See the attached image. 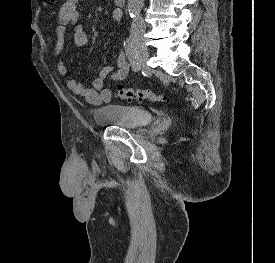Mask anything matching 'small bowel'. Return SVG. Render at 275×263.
Here are the masks:
<instances>
[{
  "mask_svg": "<svg viewBox=\"0 0 275 263\" xmlns=\"http://www.w3.org/2000/svg\"><path fill=\"white\" fill-rule=\"evenodd\" d=\"M79 0H66L60 7L58 12V24L56 27V45L54 54L58 59L57 71L60 75H67V67L59 58L62 54L65 34L67 27L74 25L73 42L77 47H84L87 44L88 37L83 27L77 24L79 19L78 12ZM122 18V12L114 9L111 13V19L119 22ZM130 73V64L127 56L121 52L116 58L115 67L112 65L104 66L96 78L93 79L92 85L87 87L79 83L74 78H67L66 85L74 94L85 98V100L93 106L108 104L112 100V91L105 87V81L109 78L113 82L125 80Z\"/></svg>",
  "mask_w": 275,
  "mask_h": 263,
  "instance_id": "small-bowel-1",
  "label": "small bowel"
}]
</instances>
